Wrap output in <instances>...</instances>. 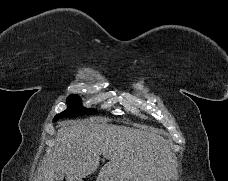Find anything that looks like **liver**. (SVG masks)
Wrapping results in <instances>:
<instances>
[{
	"instance_id": "obj_1",
	"label": "liver",
	"mask_w": 228,
	"mask_h": 181,
	"mask_svg": "<svg viewBox=\"0 0 228 181\" xmlns=\"http://www.w3.org/2000/svg\"><path fill=\"white\" fill-rule=\"evenodd\" d=\"M163 133L108 125L107 119L62 123L48 163L39 169L37 181H54L62 173L66 181H82L95 173L103 155L98 181H172L176 163Z\"/></svg>"
}]
</instances>
